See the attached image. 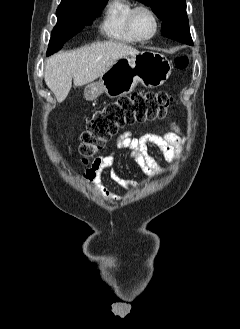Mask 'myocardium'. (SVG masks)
I'll list each match as a JSON object with an SVG mask.
<instances>
[{"mask_svg":"<svg viewBox=\"0 0 240 329\" xmlns=\"http://www.w3.org/2000/svg\"><path fill=\"white\" fill-rule=\"evenodd\" d=\"M141 11L147 12L152 17V19L154 21V30H153L152 34L147 36V37L140 36L138 34V32L136 31V28H135L136 15ZM159 28H160V21H159L158 15L156 14V12L150 6L141 4V5L135 6L131 10V12L129 14V17H128V29H129L130 33L132 34V36L137 41L145 42V41L151 40L152 38H154L156 36V34L159 31Z\"/></svg>","mask_w":240,"mask_h":329,"instance_id":"1","label":"myocardium"}]
</instances>
